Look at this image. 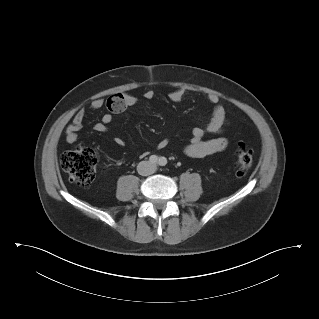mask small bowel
Segmentation results:
<instances>
[{
    "label": "small bowel",
    "mask_w": 319,
    "mask_h": 319,
    "mask_svg": "<svg viewBox=\"0 0 319 319\" xmlns=\"http://www.w3.org/2000/svg\"><path fill=\"white\" fill-rule=\"evenodd\" d=\"M153 90H145L143 97L150 100L154 97ZM185 95L184 89H175L169 94V98L173 102H179ZM113 103L115 109H111L109 102L103 98H96L91 102V108L93 110H100L106 108V112L102 115L101 121L94 125V130L99 133H104L108 130V125L113 120V113L120 112L133 106L137 99L131 94L119 95ZM207 101L212 105V117L206 123L205 126H198L192 130L190 142L186 145L184 152L187 156L194 158H202L211 155L216 152H220L227 147V140L223 137L212 138L204 140L203 137L206 133L217 134L222 131L227 123V113L224 106L220 103V98L216 94L207 95ZM86 112L84 109H80L74 115L72 121L67 125L65 129V140L72 144L78 140L79 132L83 127ZM115 142L118 145H123L124 140L120 137L115 138ZM168 145L167 140H161L158 143L159 149H164ZM145 154V153H144Z\"/></svg>",
    "instance_id": "c3829d8e"
}]
</instances>
